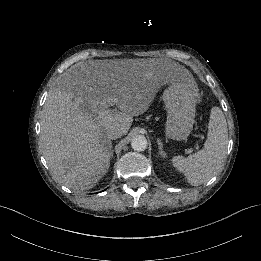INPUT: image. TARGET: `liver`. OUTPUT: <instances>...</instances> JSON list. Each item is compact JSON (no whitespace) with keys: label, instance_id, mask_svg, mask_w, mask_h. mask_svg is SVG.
Returning a JSON list of instances; mask_svg holds the SVG:
<instances>
[{"label":"liver","instance_id":"liver-1","mask_svg":"<svg viewBox=\"0 0 261 261\" xmlns=\"http://www.w3.org/2000/svg\"><path fill=\"white\" fill-rule=\"evenodd\" d=\"M188 75L182 68L162 76L159 68L137 63L94 61L70 68L48 93L40 122V143L53 178L75 191L94 188L110 167L108 132L118 128L127 135L133 116L145 113L160 89Z\"/></svg>","mask_w":261,"mask_h":261}]
</instances>
